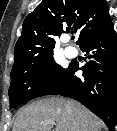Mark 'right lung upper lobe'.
<instances>
[{
	"label": "right lung upper lobe",
	"instance_id": "1",
	"mask_svg": "<svg viewBox=\"0 0 117 131\" xmlns=\"http://www.w3.org/2000/svg\"><path fill=\"white\" fill-rule=\"evenodd\" d=\"M112 25L106 0H43L23 22L13 68L53 54L55 40L65 31H78L80 46Z\"/></svg>",
	"mask_w": 117,
	"mask_h": 131
}]
</instances>
